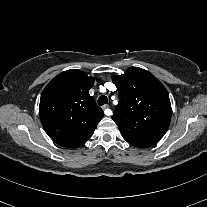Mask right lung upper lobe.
<instances>
[{
    "label": "right lung upper lobe",
    "instance_id": "obj_1",
    "mask_svg": "<svg viewBox=\"0 0 207 207\" xmlns=\"http://www.w3.org/2000/svg\"><path fill=\"white\" fill-rule=\"evenodd\" d=\"M94 78L72 69L54 77L42 92L39 114L43 128L57 144L77 148L93 134L104 112L88 91Z\"/></svg>",
    "mask_w": 207,
    "mask_h": 207
}]
</instances>
